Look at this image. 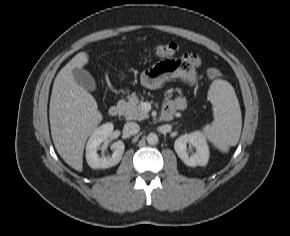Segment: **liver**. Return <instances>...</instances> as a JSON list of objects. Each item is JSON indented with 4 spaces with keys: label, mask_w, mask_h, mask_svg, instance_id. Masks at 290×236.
<instances>
[{
    "label": "liver",
    "mask_w": 290,
    "mask_h": 236,
    "mask_svg": "<svg viewBox=\"0 0 290 236\" xmlns=\"http://www.w3.org/2000/svg\"><path fill=\"white\" fill-rule=\"evenodd\" d=\"M88 61V54L79 52L60 70L53 83L49 109L54 146L62 159L79 172L87 138L102 120L96 100L73 76V70Z\"/></svg>",
    "instance_id": "6515ba94"
}]
</instances>
